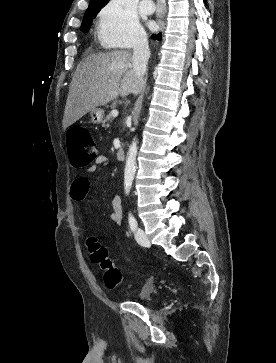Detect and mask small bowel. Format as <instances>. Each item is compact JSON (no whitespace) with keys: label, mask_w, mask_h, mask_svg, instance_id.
<instances>
[{"label":"small bowel","mask_w":276,"mask_h":363,"mask_svg":"<svg viewBox=\"0 0 276 363\" xmlns=\"http://www.w3.org/2000/svg\"><path fill=\"white\" fill-rule=\"evenodd\" d=\"M109 164V158L105 155L98 157L96 162L86 169V172H95L99 167H106ZM90 181L85 176H78L73 179L70 185V197L75 202H83L89 193ZM112 212L110 213L111 221L120 226L122 224V198L116 195L112 199Z\"/></svg>","instance_id":"c3829d8e"}]
</instances>
